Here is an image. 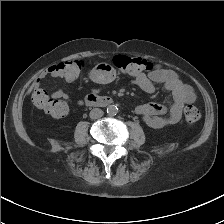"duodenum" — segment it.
Here are the masks:
<instances>
[{"label":"duodenum","instance_id":"410a0bca","mask_svg":"<svg viewBox=\"0 0 224 224\" xmlns=\"http://www.w3.org/2000/svg\"><path fill=\"white\" fill-rule=\"evenodd\" d=\"M113 103V98L109 96H93L85 100L86 105L109 106Z\"/></svg>","mask_w":224,"mask_h":224}]
</instances>
